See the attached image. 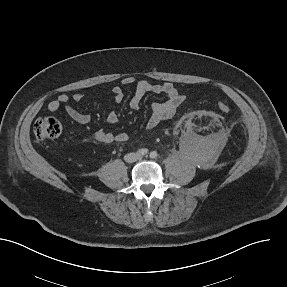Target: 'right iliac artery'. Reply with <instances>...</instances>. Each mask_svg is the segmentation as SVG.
<instances>
[{
	"label": "right iliac artery",
	"instance_id": "1",
	"mask_svg": "<svg viewBox=\"0 0 287 287\" xmlns=\"http://www.w3.org/2000/svg\"><path fill=\"white\" fill-rule=\"evenodd\" d=\"M137 154H138L139 156L147 155V154H148V150H147L146 148L139 149V150L137 151Z\"/></svg>",
	"mask_w": 287,
	"mask_h": 287
}]
</instances>
